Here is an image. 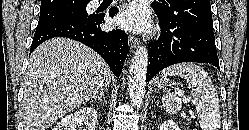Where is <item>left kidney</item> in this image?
Instances as JSON below:
<instances>
[{
    "mask_svg": "<svg viewBox=\"0 0 249 130\" xmlns=\"http://www.w3.org/2000/svg\"><path fill=\"white\" fill-rule=\"evenodd\" d=\"M160 130H180V128L173 120H166L160 125Z\"/></svg>",
    "mask_w": 249,
    "mask_h": 130,
    "instance_id": "5707ae66",
    "label": "left kidney"
}]
</instances>
